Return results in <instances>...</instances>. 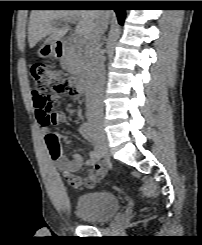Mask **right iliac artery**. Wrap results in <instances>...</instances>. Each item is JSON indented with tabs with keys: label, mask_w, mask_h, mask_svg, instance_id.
Here are the masks:
<instances>
[{
	"label": "right iliac artery",
	"mask_w": 202,
	"mask_h": 245,
	"mask_svg": "<svg viewBox=\"0 0 202 245\" xmlns=\"http://www.w3.org/2000/svg\"><path fill=\"white\" fill-rule=\"evenodd\" d=\"M82 127L84 128V130L89 134V136L91 137V139L94 141L95 143V148L97 150L98 153V158H101L103 156V146L98 138V134L96 133L95 129L93 128V126L91 125L90 122L86 121L83 123Z\"/></svg>",
	"instance_id": "obj_1"
}]
</instances>
